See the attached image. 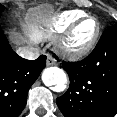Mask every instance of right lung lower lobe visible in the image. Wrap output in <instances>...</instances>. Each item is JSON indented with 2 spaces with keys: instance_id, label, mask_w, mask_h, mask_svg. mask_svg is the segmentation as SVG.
<instances>
[{
  "instance_id": "right-lung-lower-lobe-1",
  "label": "right lung lower lobe",
  "mask_w": 117,
  "mask_h": 117,
  "mask_svg": "<svg viewBox=\"0 0 117 117\" xmlns=\"http://www.w3.org/2000/svg\"><path fill=\"white\" fill-rule=\"evenodd\" d=\"M46 65V56L26 60L9 45L0 28V117H18L31 85Z\"/></svg>"
}]
</instances>
